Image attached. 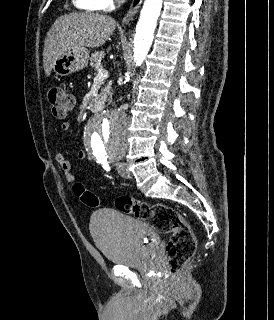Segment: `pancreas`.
I'll use <instances>...</instances> for the list:
<instances>
[{"label":"pancreas","instance_id":"obj_1","mask_svg":"<svg viewBox=\"0 0 274 320\" xmlns=\"http://www.w3.org/2000/svg\"><path fill=\"white\" fill-rule=\"evenodd\" d=\"M102 58H104V52H95V54H92L90 58V64L94 70H99V68H102ZM111 84L112 82H109L108 86L105 88V92H110Z\"/></svg>","mask_w":274,"mask_h":320}]
</instances>
